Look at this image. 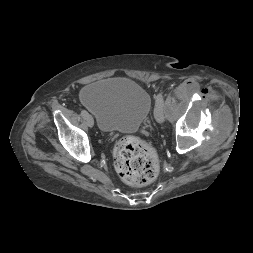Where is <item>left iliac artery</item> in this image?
I'll return each mask as SVG.
<instances>
[{"label":"left iliac artery","instance_id":"44dca946","mask_svg":"<svg viewBox=\"0 0 253 253\" xmlns=\"http://www.w3.org/2000/svg\"><path fill=\"white\" fill-rule=\"evenodd\" d=\"M159 103H162L164 105V98L160 93L156 96L155 106H157Z\"/></svg>","mask_w":253,"mask_h":253}]
</instances>
